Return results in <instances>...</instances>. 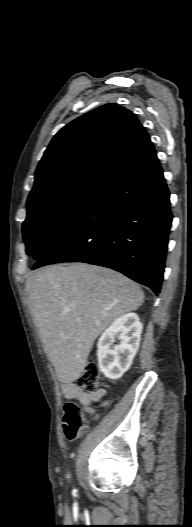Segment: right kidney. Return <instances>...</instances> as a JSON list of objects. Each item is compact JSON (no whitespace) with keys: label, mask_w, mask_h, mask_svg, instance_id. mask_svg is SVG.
<instances>
[{"label":"right kidney","mask_w":192,"mask_h":527,"mask_svg":"<svg viewBox=\"0 0 192 527\" xmlns=\"http://www.w3.org/2000/svg\"><path fill=\"white\" fill-rule=\"evenodd\" d=\"M143 325L135 313L116 319L98 340V364L109 379L120 378L131 366L138 351ZM115 338L120 340L113 345Z\"/></svg>","instance_id":"ca27d5eb"}]
</instances>
